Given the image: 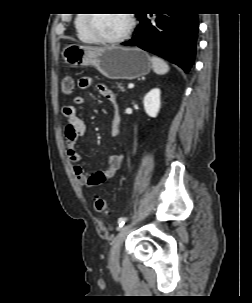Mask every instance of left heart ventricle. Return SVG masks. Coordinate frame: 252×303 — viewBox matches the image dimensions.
I'll list each match as a JSON object with an SVG mask.
<instances>
[{
	"label": "left heart ventricle",
	"mask_w": 252,
	"mask_h": 303,
	"mask_svg": "<svg viewBox=\"0 0 252 303\" xmlns=\"http://www.w3.org/2000/svg\"><path fill=\"white\" fill-rule=\"evenodd\" d=\"M127 25L126 14H94L91 27L97 34L113 37L124 32Z\"/></svg>",
	"instance_id": "obj_1"
}]
</instances>
